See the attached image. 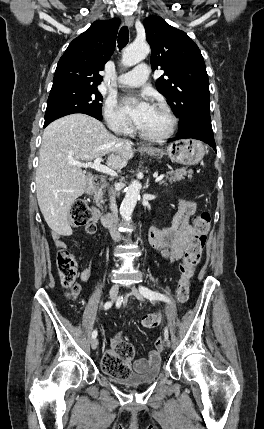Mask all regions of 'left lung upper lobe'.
I'll return each mask as SVG.
<instances>
[{"mask_svg": "<svg viewBox=\"0 0 264 429\" xmlns=\"http://www.w3.org/2000/svg\"><path fill=\"white\" fill-rule=\"evenodd\" d=\"M151 46L153 70L164 75L156 81L157 90L168 100L179 118V130L187 129L195 120L210 115L209 80L198 46L183 31L150 16L143 22Z\"/></svg>", "mask_w": 264, "mask_h": 429, "instance_id": "left-lung-upper-lobe-1", "label": "left lung upper lobe"}]
</instances>
